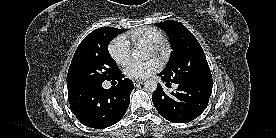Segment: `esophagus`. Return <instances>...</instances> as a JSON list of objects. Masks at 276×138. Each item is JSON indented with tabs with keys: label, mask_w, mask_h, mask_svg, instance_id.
Returning <instances> with one entry per match:
<instances>
[{
	"label": "esophagus",
	"mask_w": 276,
	"mask_h": 138,
	"mask_svg": "<svg viewBox=\"0 0 276 138\" xmlns=\"http://www.w3.org/2000/svg\"><path fill=\"white\" fill-rule=\"evenodd\" d=\"M143 81H140V80H133V84L135 86H138L139 84H141Z\"/></svg>",
	"instance_id": "1"
}]
</instances>
